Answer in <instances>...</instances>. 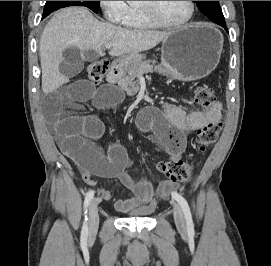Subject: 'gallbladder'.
<instances>
[{
    "mask_svg": "<svg viewBox=\"0 0 271 266\" xmlns=\"http://www.w3.org/2000/svg\"><path fill=\"white\" fill-rule=\"evenodd\" d=\"M92 51H86L84 58L76 47H69L63 52V61L59 65L60 72L67 78H72L82 72L84 68V60L94 59L91 56Z\"/></svg>",
    "mask_w": 271,
    "mask_h": 266,
    "instance_id": "obj_1",
    "label": "gallbladder"
}]
</instances>
